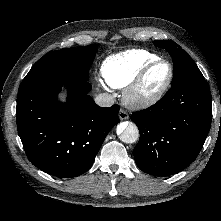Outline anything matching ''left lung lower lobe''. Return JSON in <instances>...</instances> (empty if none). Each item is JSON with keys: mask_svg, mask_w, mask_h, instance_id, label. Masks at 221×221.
<instances>
[{"mask_svg": "<svg viewBox=\"0 0 221 221\" xmlns=\"http://www.w3.org/2000/svg\"><path fill=\"white\" fill-rule=\"evenodd\" d=\"M211 119V92L206 80L172 86L156 104L131 115L140 132L134 148L137 166L155 176L181 171L199 154Z\"/></svg>", "mask_w": 221, "mask_h": 221, "instance_id": "obj_1", "label": "left lung lower lobe"}]
</instances>
